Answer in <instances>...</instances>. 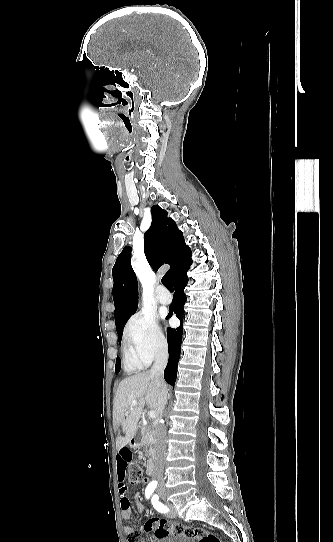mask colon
<instances>
[{"mask_svg":"<svg viewBox=\"0 0 333 542\" xmlns=\"http://www.w3.org/2000/svg\"><path fill=\"white\" fill-rule=\"evenodd\" d=\"M145 474L146 470L142 465L132 462V466L130 467V480L133 484L142 483L146 478ZM143 528L146 533L153 532L156 539H164L168 536H173L182 537L189 542H231L229 536H218L217 534L198 526L173 523L166 519H157L155 517L147 518L144 521ZM127 537L128 542L147 541V538L143 537L140 531H130Z\"/></svg>","mask_w":333,"mask_h":542,"instance_id":"5ec220e1","label":"colon"}]
</instances>
